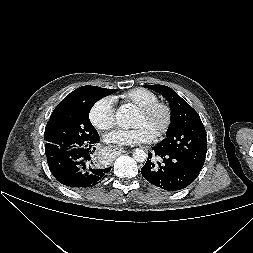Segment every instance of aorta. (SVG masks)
Segmentation results:
<instances>
[{
	"mask_svg": "<svg viewBox=\"0 0 253 253\" xmlns=\"http://www.w3.org/2000/svg\"><path fill=\"white\" fill-rule=\"evenodd\" d=\"M133 111L128 106H121L115 115L116 123L122 128H129L132 122ZM136 162L142 163L147 159V153L143 149H136L133 152Z\"/></svg>",
	"mask_w": 253,
	"mask_h": 253,
	"instance_id": "1",
	"label": "aorta"
}]
</instances>
